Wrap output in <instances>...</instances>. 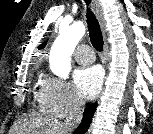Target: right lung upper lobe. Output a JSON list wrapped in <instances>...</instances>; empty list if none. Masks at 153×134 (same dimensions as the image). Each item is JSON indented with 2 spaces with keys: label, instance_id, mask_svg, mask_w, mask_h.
I'll list each match as a JSON object with an SVG mask.
<instances>
[{
  "label": "right lung upper lobe",
  "instance_id": "right-lung-upper-lobe-1",
  "mask_svg": "<svg viewBox=\"0 0 153 134\" xmlns=\"http://www.w3.org/2000/svg\"><path fill=\"white\" fill-rule=\"evenodd\" d=\"M45 45H46V42H44L43 44H41L38 48L39 49H43L45 47Z\"/></svg>",
  "mask_w": 153,
  "mask_h": 134
}]
</instances>
